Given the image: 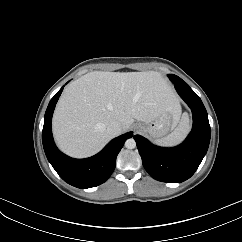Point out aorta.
Returning a JSON list of instances; mask_svg holds the SVG:
<instances>
[{
    "label": "aorta",
    "instance_id": "obj_1",
    "mask_svg": "<svg viewBox=\"0 0 242 242\" xmlns=\"http://www.w3.org/2000/svg\"><path fill=\"white\" fill-rule=\"evenodd\" d=\"M125 147L127 149H134L136 147V142L133 138H129L125 142Z\"/></svg>",
    "mask_w": 242,
    "mask_h": 242
}]
</instances>
